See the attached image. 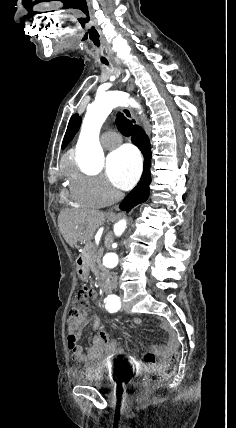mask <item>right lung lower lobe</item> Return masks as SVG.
Segmentation results:
<instances>
[{
    "label": "right lung lower lobe",
    "mask_w": 236,
    "mask_h": 428,
    "mask_svg": "<svg viewBox=\"0 0 236 428\" xmlns=\"http://www.w3.org/2000/svg\"><path fill=\"white\" fill-rule=\"evenodd\" d=\"M132 142L141 150L144 156V170L140 182L125 197L120 205L123 211H129L134 206L145 202L149 197V184L151 182L150 165H151V146L148 136L139 127L134 126Z\"/></svg>",
    "instance_id": "obj_1"
}]
</instances>
